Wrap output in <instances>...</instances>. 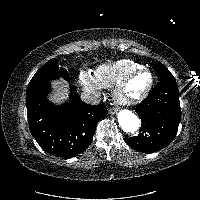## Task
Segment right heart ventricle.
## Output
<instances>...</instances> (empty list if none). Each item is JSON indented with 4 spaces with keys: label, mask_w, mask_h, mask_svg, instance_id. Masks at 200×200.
Returning <instances> with one entry per match:
<instances>
[{
    "label": "right heart ventricle",
    "mask_w": 200,
    "mask_h": 200,
    "mask_svg": "<svg viewBox=\"0 0 200 200\" xmlns=\"http://www.w3.org/2000/svg\"><path fill=\"white\" fill-rule=\"evenodd\" d=\"M141 67L143 66L134 60L120 59L102 64L95 70L93 75L103 88H111L116 86L129 73Z\"/></svg>",
    "instance_id": "e07e8e85"
}]
</instances>
